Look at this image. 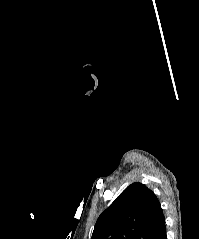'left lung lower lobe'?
Wrapping results in <instances>:
<instances>
[{
  "instance_id": "obj_1",
  "label": "left lung lower lobe",
  "mask_w": 199,
  "mask_h": 239,
  "mask_svg": "<svg viewBox=\"0 0 199 239\" xmlns=\"http://www.w3.org/2000/svg\"><path fill=\"white\" fill-rule=\"evenodd\" d=\"M150 239H167L164 215L157 222Z\"/></svg>"
}]
</instances>
